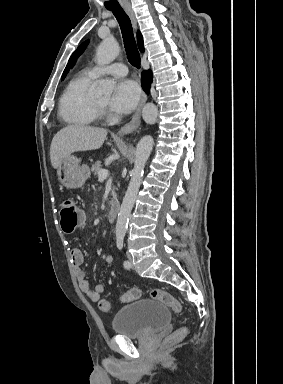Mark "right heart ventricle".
<instances>
[{
    "label": "right heart ventricle",
    "mask_w": 283,
    "mask_h": 384,
    "mask_svg": "<svg viewBox=\"0 0 283 384\" xmlns=\"http://www.w3.org/2000/svg\"><path fill=\"white\" fill-rule=\"evenodd\" d=\"M93 78L86 72H79L67 82L58 103V115L67 127L85 129L96 124L92 98L88 86Z\"/></svg>",
    "instance_id": "obj_1"
}]
</instances>
